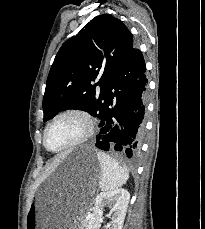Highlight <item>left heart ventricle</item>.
Segmentation results:
<instances>
[{"label": "left heart ventricle", "mask_w": 205, "mask_h": 229, "mask_svg": "<svg viewBox=\"0 0 205 229\" xmlns=\"http://www.w3.org/2000/svg\"><path fill=\"white\" fill-rule=\"evenodd\" d=\"M83 132L80 119L68 116L57 120L48 130L47 145L50 149L61 148L77 139Z\"/></svg>", "instance_id": "obj_1"}]
</instances>
